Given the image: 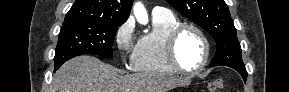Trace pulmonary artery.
<instances>
[{
  "label": "pulmonary artery",
  "mask_w": 289,
  "mask_h": 92,
  "mask_svg": "<svg viewBox=\"0 0 289 92\" xmlns=\"http://www.w3.org/2000/svg\"><path fill=\"white\" fill-rule=\"evenodd\" d=\"M152 12L153 13H163V12H169V10L164 8V7L156 6L153 8Z\"/></svg>",
  "instance_id": "pulmonary-artery-1"
}]
</instances>
